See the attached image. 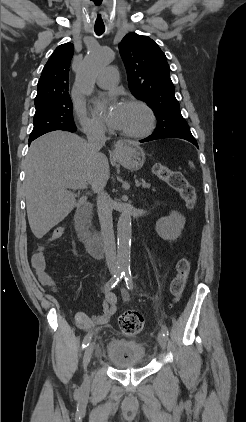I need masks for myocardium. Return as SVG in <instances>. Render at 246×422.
<instances>
[{
	"label": "myocardium",
	"mask_w": 246,
	"mask_h": 422,
	"mask_svg": "<svg viewBox=\"0 0 246 422\" xmlns=\"http://www.w3.org/2000/svg\"><path fill=\"white\" fill-rule=\"evenodd\" d=\"M126 104L140 107L146 114L147 122L143 129L136 132L121 130V135L130 139H141L150 135L156 126V115L152 107L147 102L138 98L128 99Z\"/></svg>",
	"instance_id": "1"
}]
</instances>
